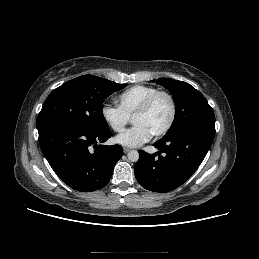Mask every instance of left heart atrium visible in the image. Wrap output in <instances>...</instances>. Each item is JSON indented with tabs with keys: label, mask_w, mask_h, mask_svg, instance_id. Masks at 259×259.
<instances>
[{
	"label": "left heart atrium",
	"mask_w": 259,
	"mask_h": 259,
	"mask_svg": "<svg viewBox=\"0 0 259 259\" xmlns=\"http://www.w3.org/2000/svg\"><path fill=\"white\" fill-rule=\"evenodd\" d=\"M151 132L141 125H134L127 131L115 137V142L126 147H138L149 141Z\"/></svg>",
	"instance_id": "left-heart-atrium-1"
}]
</instances>
